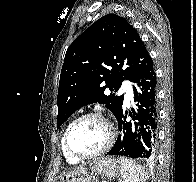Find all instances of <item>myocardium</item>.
<instances>
[{
	"mask_svg": "<svg viewBox=\"0 0 196 182\" xmlns=\"http://www.w3.org/2000/svg\"><path fill=\"white\" fill-rule=\"evenodd\" d=\"M89 118H94V119H98L100 120L106 129V140L105 143L103 144V146L97 150L96 152L92 153V154H88V155H82V154H78L76 152H74L69 144V138H70V134L73 130V128L81 121L85 120V119H89ZM114 141V130H113V126L111 124V122L101 113L99 112H88L85 113L83 115H80L79 117H77L75 120H73L69 126L67 127L64 137H63V144H64V148L66 150V152L73 158L77 159V160H91L94 158H97L101 155H103L104 153H106L110 147L112 146Z\"/></svg>",
	"mask_w": 196,
	"mask_h": 182,
	"instance_id": "obj_1",
	"label": "myocardium"
}]
</instances>
